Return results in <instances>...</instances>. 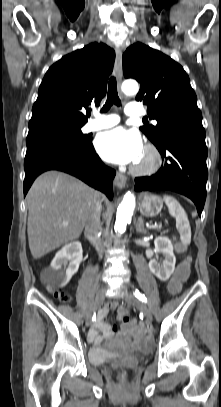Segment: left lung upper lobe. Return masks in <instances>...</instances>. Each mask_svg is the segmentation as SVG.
Returning a JSON list of instances; mask_svg holds the SVG:
<instances>
[{
    "mask_svg": "<svg viewBox=\"0 0 221 407\" xmlns=\"http://www.w3.org/2000/svg\"><path fill=\"white\" fill-rule=\"evenodd\" d=\"M123 72L125 78H134L140 82L136 100L147 105L150 118L157 120L156 126L140 127L154 144L172 126H202V114L197 107V97L189 77L169 56L136 43L123 55Z\"/></svg>",
    "mask_w": 221,
    "mask_h": 407,
    "instance_id": "1",
    "label": "left lung upper lobe"
}]
</instances>
